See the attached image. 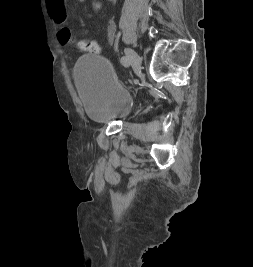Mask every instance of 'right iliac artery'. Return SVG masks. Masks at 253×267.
<instances>
[{"label": "right iliac artery", "instance_id": "1", "mask_svg": "<svg viewBox=\"0 0 253 267\" xmlns=\"http://www.w3.org/2000/svg\"><path fill=\"white\" fill-rule=\"evenodd\" d=\"M121 63L123 66L128 67L130 65V60L127 56L121 58Z\"/></svg>", "mask_w": 253, "mask_h": 267}]
</instances>
